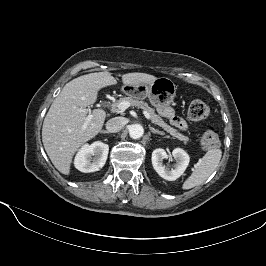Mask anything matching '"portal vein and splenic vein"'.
I'll use <instances>...</instances> for the list:
<instances>
[{"mask_svg": "<svg viewBox=\"0 0 266 266\" xmlns=\"http://www.w3.org/2000/svg\"><path fill=\"white\" fill-rule=\"evenodd\" d=\"M129 106H130V103H129V102H127V101H122V102H120V103L118 104V109H119L120 111H125ZM77 111H79V112H83V113H86V114L88 113V116L86 117V121H85V123H84L83 126H82V129L84 130V129H86V127H87L89 121L92 119V114H91V112H88L87 109L77 108ZM143 114H144V116H145L148 120H151V116L149 115V113H148L147 111H143Z\"/></svg>", "mask_w": 266, "mask_h": 266, "instance_id": "obj_1", "label": "portal vein and splenic vein"}]
</instances>
